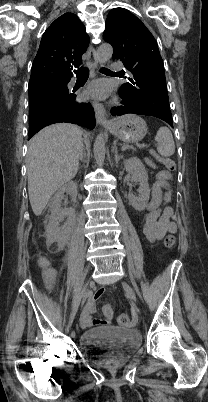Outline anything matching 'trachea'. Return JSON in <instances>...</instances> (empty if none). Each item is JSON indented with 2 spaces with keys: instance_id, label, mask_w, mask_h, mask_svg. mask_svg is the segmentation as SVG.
Masks as SVG:
<instances>
[{
  "instance_id": "3493384b",
  "label": "trachea",
  "mask_w": 208,
  "mask_h": 402,
  "mask_svg": "<svg viewBox=\"0 0 208 402\" xmlns=\"http://www.w3.org/2000/svg\"><path fill=\"white\" fill-rule=\"evenodd\" d=\"M101 72H111L108 68L102 67ZM75 74L77 78H84L89 76V69L86 67H81L78 70H75Z\"/></svg>"
}]
</instances>
